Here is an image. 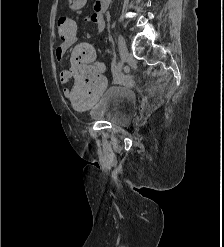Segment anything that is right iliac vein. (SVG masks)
I'll return each instance as SVG.
<instances>
[{"instance_id":"1","label":"right iliac vein","mask_w":224,"mask_h":247,"mask_svg":"<svg viewBox=\"0 0 224 247\" xmlns=\"http://www.w3.org/2000/svg\"><path fill=\"white\" fill-rule=\"evenodd\" d=\"M118 43H119L120 58L123 64L128 56V48L124 38L121 35L119 36Z\"/></svg>"}]
</instances>
